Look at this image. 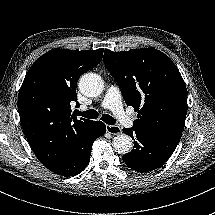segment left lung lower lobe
Masks as SVG:
<instances>
[{
	"label": "left lung lower lobe",
	"mask_w": 215,
	"mask_h": 215,
	"mask_svg": "<svg viewBox=\"0 0 215 215\" xmlns=\"http://www.w3.org/2000/svg\"><path fill=\"white\" fill-rule=\"evenodd\" d=\"M134 140L131 152L123 156L125 164L138 172H149L161 167L174 152L182 134L143 132L124 128Z\"/></svg>",
	"instance_id": "1"
}]
</instances>
